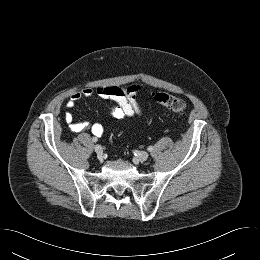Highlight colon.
Wrapping results in <instances>:
<instances>
[{
	"instance_id": "1",
	"label": "colon",
	"mask_w": 260,
	"mask_h": 260,
	"mask_svg": "<svg viewBox=\"0 0 260 260\" xmlns=\"http://www.w3.org/2000/svg\"><path fill=\"white\" fill-rule=\"evenodd\" d=\"M154 100L175 113H183L187 109V103L183 99L167 93L154 94Z\"/></svg>"
}]
</instances>
